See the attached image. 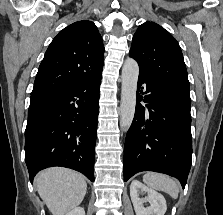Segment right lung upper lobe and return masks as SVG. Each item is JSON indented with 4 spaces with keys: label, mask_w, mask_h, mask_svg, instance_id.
Listing matches in <instances>:
<instances>
[{
    "label": "right lung upper lobe",
    "mask_w": 223,
    "mask_h": 215,
    "mask_svg": "<svg viewBox=\"0 0 223 215\" xmlns=\"http://www.w3.org/2000/svg\"><path fill=\"white\" fill-rule=\"evenodd\" d=\"M104 46L95 24L75 22L53 39L40 64L31 97L49 96L102 72Z\"/></svg>",
    "instance_id": "1"
}]
</instances>
